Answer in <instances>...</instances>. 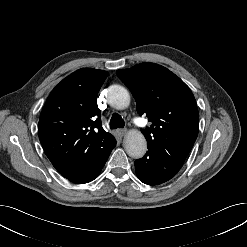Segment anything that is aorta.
Instances as JSON below:
<instances>
[{
    "label": "aorta",
    "mask_w": 247,
    "mask_h": 247,
    "mask_svg": "<svg viewBox=\"0 0 247 247\" xmlns=\"http://www.w3.org/2000/svg\"><path fill=\"white\" fill-rule=\"evenodd\" d=\"M109 104L118 110L127 108L130 104V94L126 88L113 85L108 90ZM126 153L135 159L141 158L147 151V141L140 131H130L124 138Z\"/></svg>",
    "instance_id": "1"
}]
</instances>
